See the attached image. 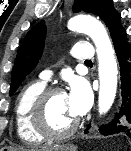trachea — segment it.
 Segmentation results:
<instances>
[{
	"mask_svg": "<svg viewBox=\"0 0 131 151\" xmlns=\"http://www.w3.org/2000/svg\"><path fill=\"white\" fill-rule=\"evenodd\" d=\"M85 63H91V61L90 60H86Z\"/></svg>",
	"mask_w": 131,
	"mask_h": 151,
	"instance_id": "obj_1",
	"label": "trachea"
}]
</instances>
